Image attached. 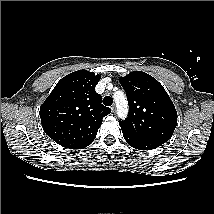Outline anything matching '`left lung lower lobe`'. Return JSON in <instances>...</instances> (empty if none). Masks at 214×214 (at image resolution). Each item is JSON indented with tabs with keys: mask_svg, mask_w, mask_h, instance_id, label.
<instances>
[{
	"mask_svg": "<svg viewBox=\"0 0 214 214\" xmlns=\"http://www.w3.org/2000/svg\"><path fill=\"white\" fill-rule=\"evenodd\" d=\"M123 136H124L126 142L130 146H132L133 148L139 149V150H151V149H155L162 145L159 142L153 141L151 139L139 137V136L133 135L131 133L123 132Z\"/></svg>",
	"mask_w": 214,
	"mask_h": 214,
	"instance_id": "1",
	"label": "left lung lower lobe"
}]
</instances>
